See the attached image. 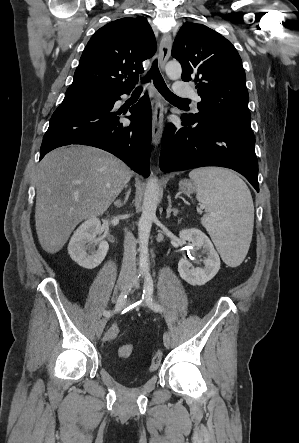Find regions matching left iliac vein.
Returning <instances> with one entry per match:
<instances>
[{"label": "left iliac vein", "mask_w": 299, "mask_h": 443, "mask_svg": "<svg viewBox=\"0 0 299 443\" xmlns=\"http://www.w3.org/2000/svg\"><path fill=\"white\" fill-rule=\"evenodd\" d=\"M135 288H139V284L136 282L134 284ZM163 342L166 348H168L170 346V342H171V337H170V333L169 332H165L163 335Z\"/></svg>", "instance_id": "1"}]
</instances>
